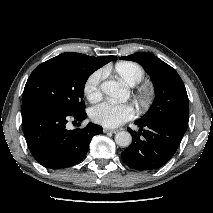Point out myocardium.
Segmentation results:
<instances>
[{"mask_svg": "<svg viewBox=\"0 0 213 213\" xmlns=\"http://www.w3.org/2000/svg\"><path fill=\"white\" fill-rule=\"evenodd\" d=\"M135 96L140 103L145 104L151 100L153 90L147 85H140L135 91Z\"/></svg>", "mask_w": 213, "mask_h": 213, "instance_id": "f54148a6", "label": "myocardium"}]
</instances>
